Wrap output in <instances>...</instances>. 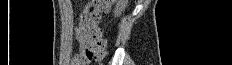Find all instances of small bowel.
I'll use <instances>...</instances> for the list:
<instances>
[{
    "instance_id": "small-bowel-1",
    "label": "small bowel",
    "mask_w": 232,
    "mask_h": 65,
    "mask_svg": "<svg viewBox=\"0 0 232 65\" xmlns=\"http://www.w3.org/2000/svg\"><path fill=\"white\" fill-rule=\"evenodd\" d=\"M75 38L79 44V52L73 57L72 64L73 65H83L89 59H88V55H87L86 33H85L81 23L78 25V27L75 30Z\"/></svg>"
}]
</instances>
